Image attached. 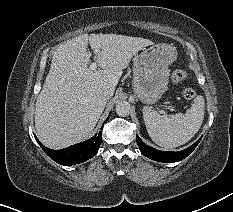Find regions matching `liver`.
Instances as JSON below:
<instances>
[{"mask_svg":"<svg viewBox=\"0 0 233 212\" xmlns=\"http://www.w3.org/2000/svg\"><path fill=\"white\" fill-rule=\"evenodd\" d=\"M88 44L100 70L88 67ZM152 44L148 39L117 34H82L62 43L36 100L39 140L48 148L62 149L88 137L107 102L100 90L114 91L131 58Z\"/></svg>","mask_w":233,"mask_h":212,"instance_id":"liver-1","label":"liver"}]
</instances>
